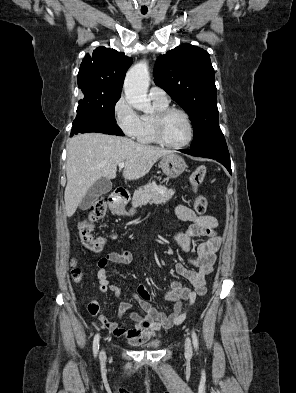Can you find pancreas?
I'll list each match as a JSON object with an SVG mask.
<instances>
[{
    "label": "pancreas",
    "mask_w": 296,
    "mask_h": 393,
    "mask_svg": "<svg viewBox=\"0 0 296 393\" xmlns=\"http://www.w3.org/2000/svg\"><path fill=\"white\" fill-rule=\"evenodd\" d=\"M175 194V190L167 189L164 186L147 184L137 189L132 198L134 208L146 204H162L168 202Z\"/></svg>",
    "instance_id": "pancreas-1"
}]
</instances>
